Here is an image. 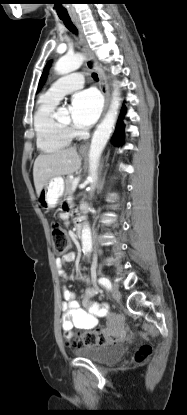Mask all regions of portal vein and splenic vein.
<instances>
[{
    "instance_id": "1",
    "label": "portal vein and splenic vein",
    "mask_w": 187,
    "mask_h": 415,
    "mask_svg": "<svg viewBox=\"0 0 187 415\" xmlns=\"http://www.w3.org/2000/svg\"><path fill=\"white\" fill-rule=\"evenodd\" d=\"M79 182H80V177H77V178H75V179L73 180V183H72V189H73V190H75V189H76V187H77V185L79 184Z\"/></svg>"
}]
</instances>
